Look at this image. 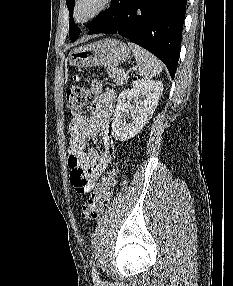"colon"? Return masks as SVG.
I'll list each match as a JSON object with an SVG mask.
<instances>
[{
  "mask_svg": "<svg viewBox=\"0 0 233 286\" xmlns=\"http://www.w3.org/2000/svg\"><path fill=\"white\" fill-rule=\"evenodd\" d=\"M74 80L76 84L67 91L66 106L72 115L79 116L89 102L90 92L88 88L81 83V77L79 75H75ZM114 186L115 171H110L96 186L91 197L81 206L80 215L84 224L95 220L103 212L113 193Z\"/></svg>",
  "mask_w": 233,
  "mask_h": 286,
  "instance_id": "1",
  "label": "colon"
}]
</instances>
